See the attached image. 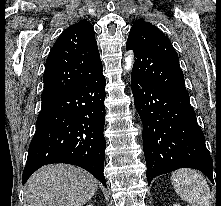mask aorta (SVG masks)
<instances>
[{"label":"aorta","mask_w":221,"mask_h":206,"mask_svg":"<svg viewBox=\"0 0 221 206\" xmlns=\"http://www.w3.org/2000/svg\"><path fill=\"white\" fill-rule=\"evenodd\" d=\"M125 69L126 70H130L132 68V65H133V55L131 53H129L127 55V57L125 58Z\"/></svg>","instance_id":"762f6f07"}]
</instances>
